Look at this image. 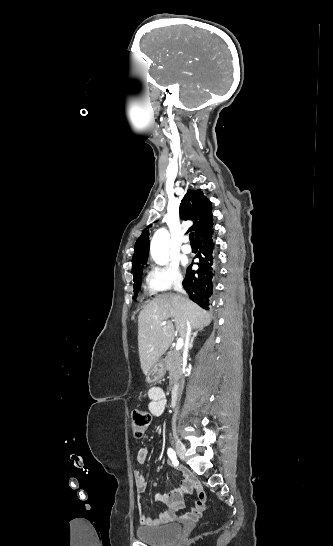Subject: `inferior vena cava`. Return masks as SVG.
Listing matches in <instances>:
<instances>
[{
  "label": "inferior vena cava",
  "mask_w": 333,
  "mask_h": 546,
  "mask_svg": "<svg viewBox=\"0 0 333 546\" xmlns=\"http://www.w3.org/2000/svg\"><path fill=\"white\" fill-rule=\"evenodd\" d=\"M174 289H175V291H177V292H180V293L185 294V291H184V289H183V287H182V285H181L180 283L175 284ZM191 330H192V329H191L190 324L187 323L186 334H185V346H184L185 351H188V349H189L190 338H191V334H192V333H191ZM183 383H184V380L182 379V382H181L182 387H183ZM177 413H178V411L175 410L174 415H173V419H172V428H173V430H175V428H176V416H177Z\"/></svg>",
  "instance_id": "inferior-vena-cava-1"
}]
</instances>
